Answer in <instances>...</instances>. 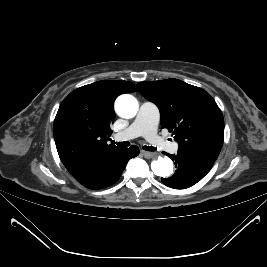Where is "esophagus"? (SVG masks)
I'll return each instance as SVG.
<instances>
[{
	"label": "esophagus",
	"mask_w": 267,
	"mask_h": 267,
	"mask_svg": "<svg viewBox=\"0 0 267 267\" xmlns=\"http://www.w3.org/2000/svg\"><path fill=\"white\" fill-rule=\"evenodd\" d=\"M142 155L145 157V158H153L155 156V153H152V152H147V151H142Z\"/></svg>",
	"instance_id": "obj_1"
}]
</instances>
